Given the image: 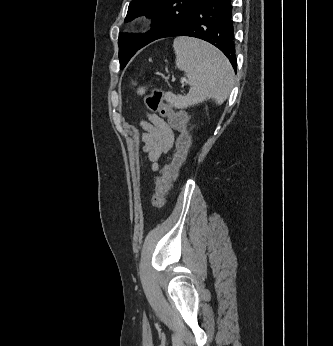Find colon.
Returning a JSON list of instances; mask_svg holds the SVG:
<instances>
[{
    "mask_svg": "<svg viewBox=\"0 0 333 346\" xmlns=\"http://www.w3.org/2000/svg\"><path fill=\"white\" fill-rule=\"evenodd\" d=\"M139 93L145 96V104L150 111L166 117L170 126L179 132L175 142L176 151L171 162L163 167L161 176L156 179L151 197L152 205L160 208L165 203L166 194L171 189L172 183L178 178L181 166L186 162L187 152L191 146V136L186 128V115L183 112L174 111L164 102L163 90L143 86L139 88Z\"/></svg>",
    "mask_w": 333,
    "mask_h": 346,
    "instance_id": "5ec220e1",
    "label": "colon"
}]
</instances>
